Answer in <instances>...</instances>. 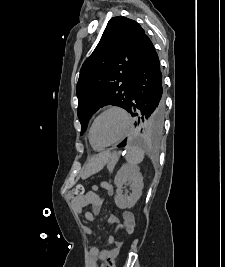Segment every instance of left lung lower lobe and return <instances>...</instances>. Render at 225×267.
<instances>
[{
  "instance_id": "1",
  "label": "left lung lower lobe",
  "mask_w": 225,
  "mask_h": 267,
  "mask_svg": "<svg viewBox=\"0 0 225 267\" xmlns=\"http://www.w3.org/2000/svg\"><path fill=\"white\" fill-rule=\"evenodd\" d=\"M128 112L136 118L135 124L148 116L158 126L164 121L162 73L157 52L148 36L135 69ZM123 146L125 141L118 145Z\"/></svg>"
}]
</instances>
